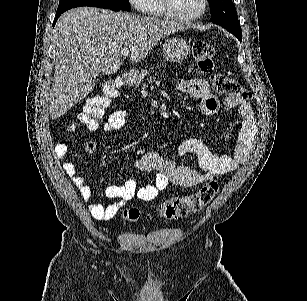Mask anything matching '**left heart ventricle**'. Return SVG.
<instances>
[{"mask_svg":"<svg viewBox=\"0 0 307 301\" xmlns=\"http://www.w3.org/2000/svg\"><path fill=\"white\" fill-rule=\"evenodd\" d=\"M201 0H173L174 5L171 6L173 11L171 13H191L195 11L198 13Z\"/></svg>","mask_w":307,"mask_h":301,"instance_id":"1","label":"left heart ventricle"}]
</instances>
